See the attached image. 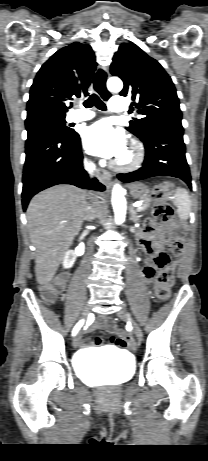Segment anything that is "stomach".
<instances>
[{"mask_svg":"<svg viewBox=\"0 0 208 461\" xmlns=\"http://www.w3.org/2000/svg\"><path fill=\"white\" fill-rule=\"evenodd\" d=\"M130 191H131V194L137 198L145 197L149 193V190L143 183H135L131 185Z\"/></svg>","mask_w":208,"mask_h":461,"instance_id":"0dacf381","label":"stomach"}]
</instances>
